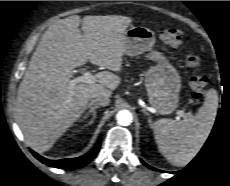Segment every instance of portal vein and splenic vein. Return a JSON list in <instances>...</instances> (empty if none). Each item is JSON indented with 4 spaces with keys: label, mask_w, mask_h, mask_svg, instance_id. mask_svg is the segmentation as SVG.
<instances>
[{
    "label": "portal vein and splenic vein",
    "mask_w": 230,
    "mask_h": 186,
    "mask_svg": "<svg viewBox=\"0 0 230 186\" xmlns=\"http://www.w3.org/2000/svg\"><path fill=\"white\" fill-rule=\"evenodd\" d=\"M95 82H96V77L94 75H92L90 71H86V72H84L83 75L70 81V88L72 89L77 83L92 84ZM177 115H178V118L186 116V114L183 110H178Z\"/></svg>",
    "instance_id": "portal-vein-and-splenic-vein-1"
}]
</instances>
